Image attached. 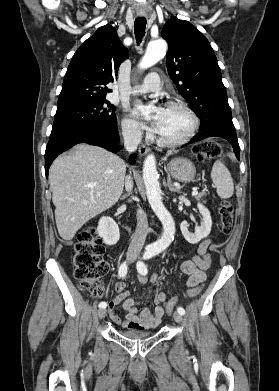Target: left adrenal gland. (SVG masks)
Masks as SVG:
<instances>
[{
  "mask_svg": "<svg viewBox=\"0 0 279 391\" xmlns=\"http://www.w3.org/2000/svg\"><path fill=\"white\" fill-rule=\"evenodd\" d=\"M167 186H168L169 190L172 191V192H179L180 191L179 188L173 186L172 180H171L170 177L167 178Z\"/></svg>",
  "mask_w": 279,
  "mask_h": 391,
  "instance_id": "1",
  "label": "left adrenal gland"
}]
</instances>
